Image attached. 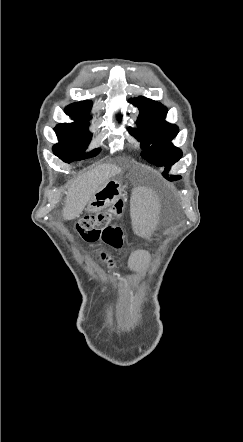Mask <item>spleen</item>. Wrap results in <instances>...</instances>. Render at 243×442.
<instances>
[{"label":"spleen","mask_w":243,"mask_h":442,"mask_svg":"<svg viewBox=\"0 0 243 442\" xmlns=\"http://www.w3.org/2000/svg\"><path fill=\"white\" fill-rule=\"evenodd\" d=\"M151 185L149 183H142L137 188L136 193H127V202H134L132 205L133 219H138L136 224L137 231H154L157 224V219L154 217L155 209L158 207L157 194L149 193ZM147 264L145 261L142 263Z\"/></svg>","instance_id":"3e777b00"}]
</instances>
